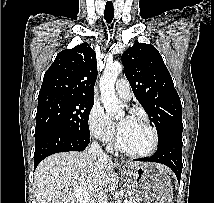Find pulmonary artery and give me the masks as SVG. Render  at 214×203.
Returning <instances> with one entry per match:
<instances>
[{
	"mask_svg": "<svg viewBox=\"0 0 214 203\" xmlns=\"http://www.w3.org/2000/svg\"><path fill=\"white\" fill-rule=\"evenodd\" d=\"M117 94L124 100H128L131 96L130 85L124 78H119L115 83Z\"/></svg>",
	"mask_w": 214,
	"mask_h": 203,
	"instance_id": "e3ab8cb5",
	"label": "pulmonary artery"
}]
</instances>
